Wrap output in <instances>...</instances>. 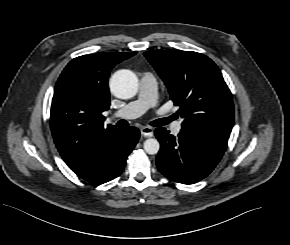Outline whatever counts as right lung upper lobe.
I'll return each mask as SVG.
<instances>
[{
	"mask_svg": "<svg viewBox=\"0 0 290 245\" xmlns=\"http://www.w3.org/2000/svg\"><path fill=\"white\" fill-rule=\"evenodd\" d=\"M136 52L83 55L69 62L54 90L50 125L55 145L72 171L93 164L113 143L119 128L103 126L109 109L108 77Z\"/></svg>",
	"mask_w": 290,
	"mask_h": 245,
	"instance_id": "1",
	"label": "right lung upper lobe"
}]
</instances>
